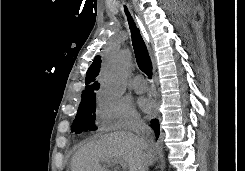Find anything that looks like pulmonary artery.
<instances>
[{
	"mask_svg": "<svg viewBox=\"0 0 245 171\" xmlns=\"http://www.w3.org/2000/svg\"><path fill=\"white\" fill-rule=\"evenodd\" d=\"M132 85L136 93H144L147 90V83L142 76H136Z\"/></svg>",
	"mask_w": 245,
	"mask_h": 171,
	"instance_id": "pulmonary-artery-1",
	"label": "pulmonary artery"
}]
</instances>
